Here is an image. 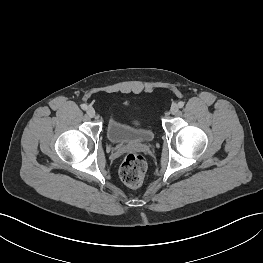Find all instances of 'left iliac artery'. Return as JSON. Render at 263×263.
<instances>
[{
	"mask_svg": "<svg viewBox=\"0 0 263 263\" xmlns=\"http://www.w3.org/2000/svg\"><path fill=\"white\" fill-rule=\"evenodd\" d=\"M184 106V102L183 101H180L179 103H178V107L179 108H182Z\"/></svg>",
	"mask_w": 263,
	"mask_h": 263,
	"instance_id": "1",
	"label": "left iliac artery"
}]
</instances>
